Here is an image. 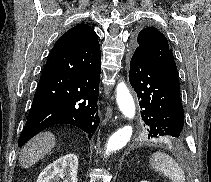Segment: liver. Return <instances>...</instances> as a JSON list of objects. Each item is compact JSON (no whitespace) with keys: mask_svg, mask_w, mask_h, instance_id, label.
Segmentation results:
<instances>
[{"mask_svg":"<svg viewBox=\"0 0 211 182\" xmlns=\"http://www.w3.org/2000/svg\"><path fill=\"white\" fill-rule=\"evenodd\" d=\"M55 136L51 132L40 133L31 139L22 149L20 165L28 168L42 159L55 146Z\"/></svg>","mask_w":211,"mask_h":182,"instance_id":"6515ba94","label":"liver"}]
</instances>
